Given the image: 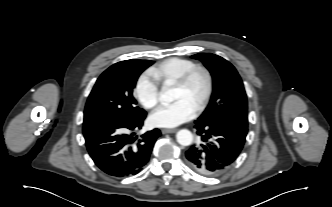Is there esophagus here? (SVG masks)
<instances>
[{
    "label": "esophagus",
    "mask_w": 332,
    "mask_h": 207,
    "mask_svg": "<svg viewBox=\"0 0 332 207\" xmlns=\"http://www.w3.org/2000/svg\"><path fill=\"white\" fill-rule=\"evenodd\" d=\"M161 132L163 134L174 133V132H176V129H162Z\"/></svg>",
    "instance_id": "1"
}]
</instances>
